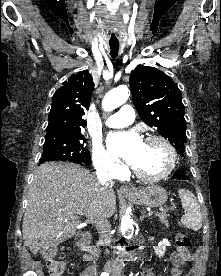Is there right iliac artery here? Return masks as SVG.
Returning a JSON list of instances; mask_svg holds the SVG:
<instances>
[{"label": "right iliac artery", "instance_id": "right-iliac-artery-1", "mask_svg": "<svg viewBox=\"0 0 221 276\" xmlns=\"http://www.w3.org/2000/svg\"><path fill=\"white\" fill-rule=\"evenodd\" d=\"M101 276H109V273L104 272L101 274Z\"/></svg>", "mask_w": 221, "mask_h": 276}]
</instances>
